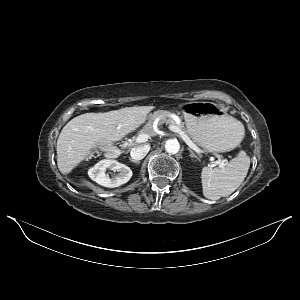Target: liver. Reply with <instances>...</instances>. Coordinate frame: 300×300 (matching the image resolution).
<instances>
[{"instance_id":"1","label":"liver","mask_w":300,"mask_h":300,"mask_svg":"<svg viewBox=\"0 0 300 300\" xmlns=\"http://www.w3.org/2000/svg\"><path fill=\"white\" fill-rule=\"evenodd\" d=\"M151 106L126 107L106 113H85L70 120L57 140V165L69 174L93 155V150L111 145L138 129L147 119Z\"/></svg>"}]
</instances>
